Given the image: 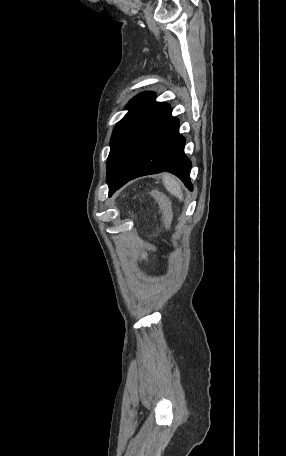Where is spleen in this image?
<instances>
[{
  "mask_svg": "<svg viewBox=\"0 0 286 456\" xmlns=\"http://www.w3.org/2000/svg\"><path fill=\"white\" fill-rule=\"evenodd\" d=\"M163 183L165 185V188L175 197H177L179 200L183 201L184 196H183V191L181 188V183L179 180L170 174H163L162 176Z\"/></svg>",
  "mask_w": 286,
  "mask_h": 456,
  "instance_id": "obj_1",
  "label": "spleen"
}]
</instances>
